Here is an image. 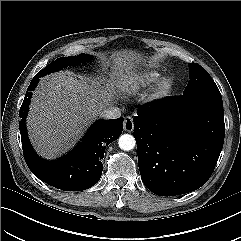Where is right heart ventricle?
Instances as JSON below:
<instances>
[{
	"label": "right heart ventricle",
	"mask_w": 241,
	"mask_h": 241,
	"mask_svg": "<svg viewBox=\"0 0 241 241\" xmlns=\"http://www.w3.org/2000/svg\"><path fill=\"white\" fill-rule=\"evenodd\" d=\"M159 77H160V74L157 72H153V71L145 72L132 78L127 85L130 90H137L141 87H144L153 82H156Z\"/></svg>",
	"instance_id": "right-heart-ventricle-1"
}]
</instances>
